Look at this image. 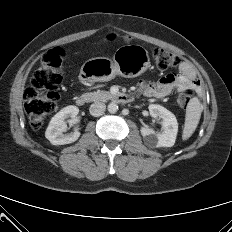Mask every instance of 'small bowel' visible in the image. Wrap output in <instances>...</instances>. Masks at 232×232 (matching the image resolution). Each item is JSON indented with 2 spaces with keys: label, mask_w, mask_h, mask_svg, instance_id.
I'll return each mask as SVG.
<instances>
[{
  "label": "small bowel",
  "mask_w": 232,
  "mask_h": 232,
  "mask_svg": "<svg viewBox=\"0 0 232 232\" xmlns=\"http://www.w3.org/2000/svg\"><path fill=\"white\" fill-rule=\"evenodd\" d=\"M191 88L200 90V82L195 69L189 61H182L178 73H170L163 76L156 83L139 82L138 90L146 97L165 98L173 91Z\"/></svg>",
  "instance_id": "1"
}]
</instances>
